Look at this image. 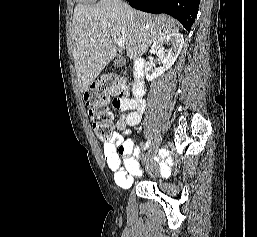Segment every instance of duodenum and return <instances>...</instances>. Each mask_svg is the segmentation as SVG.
Instances as JSON below:
<instances>
[{"label":"duodenum","instance_id":"1","mask_svg":"<svg viewBox=\"0 0 257 237\" xmlns=\"http://www.w3.org/2000/svg\"><path fill=\"white\" fill-rule=\"evenodd\" d=\"M145 62L142 58H137L133 67V89L136 97H141L145 90Z\"/></svg>","mask_w":257,"mask_h":237}]
</instances>
